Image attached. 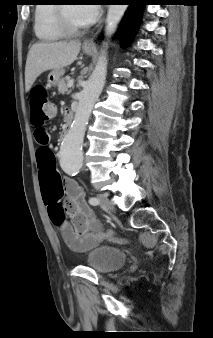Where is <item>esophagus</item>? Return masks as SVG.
Wrapping results in <instances>:
<instances>
[{
	"mask_svg": "<svg viewBox=\"0 0 213 338\" xmlns=\"http://www.w3.org/2000/svg\"><path fill=\"white\" fill-rule=\"evenodd\" d=\"M84 45H85V46H91V47H93V46H94V41H93V39H89V40L85 41V42H84Z\"/></svg>",
	"mask_w": 213,
	"mask_h": 338,
	"instance_id": "34e87169",
	"label": "esophagus"
}]
</instances>
